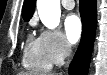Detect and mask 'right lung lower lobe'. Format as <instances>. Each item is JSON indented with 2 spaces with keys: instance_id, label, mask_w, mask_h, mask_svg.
I'll list each match as a JSON object with an SVG mask.
<instances>
[{
  "instance_id": "1",
  "label": "right lung lower lobe",
  "mask_w": 107,
  "mask_h": 75,
  "mask_svg": "<svg viewBox=\"0 0 107 75\" xmlns=\"http://www.w3.org/2000/svg\"><path fill=\"white\" fill-rule=\"evenodd\" d=\"M96 0H80V15L82 19V36L79 47L69 66V75H87L93 48L97 8Z\"/></svg>"
}]
</instances>
